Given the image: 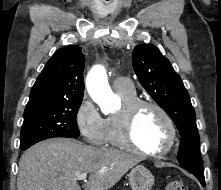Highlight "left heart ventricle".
<instances>
[{
    "instance_id": "b2bd125f",
    "label": "left heart ventricle",
    "mask_w": 221,
    "mask_h": 190,
    "mask_svg": "<svg viewBox=\"0 0 221 190\" xmlns=\"http://www.w3.org/2000/svg\"><path fill=\"white\" fill-rule=\"evenodd\" d=\"M132 136L137 146L145 150H157L168 141L167 125L152 107H142L134 117Z\"/></svg>"
}]
</instances>
